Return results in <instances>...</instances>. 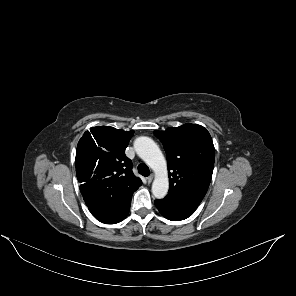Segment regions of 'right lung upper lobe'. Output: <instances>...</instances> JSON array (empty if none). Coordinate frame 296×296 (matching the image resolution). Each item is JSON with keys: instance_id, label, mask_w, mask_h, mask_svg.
Instances as JSON below:
<instances>
[{"instance_id": "1", "label": "right lung upper lobe", "mask_w": 296, "mask_h": 296, "mask_svg": "<svg viewBox=\"0 0 296 296\" xmlns=\"http://www.w3.org/2000/svg\"><path fill=\"white\" fill-rule=\"evenodd\" d=\"M134 131L92 127L77 145L76 176L85 197L111 198L134 193L142 184L124 151Z\"/></svg>"}]
</instances>
